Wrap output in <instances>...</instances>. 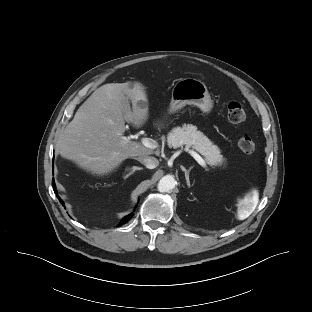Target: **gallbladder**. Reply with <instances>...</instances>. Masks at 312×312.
<instances>
[{
	"mask_svg": "<svg viewBox=\"0 0 312 312\" xmlns=\"http://www.w3.org/2000/svg\"><path fill=\"white\" fill-rule=\"evenodd\" d=\"M124 102H125L124 105L127 108L129 106V102H128V100H124Z\"/></svg>",
	"mask_w": 312,
	"mask_h": 312,
	"instance_id": "1",
	"label": "gallbladder"
}]
</instances>
